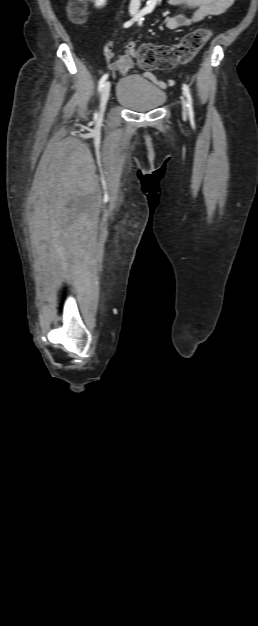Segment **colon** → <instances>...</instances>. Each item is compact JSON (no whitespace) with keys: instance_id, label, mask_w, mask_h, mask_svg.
<instances>
[{"instance_id":"obj_1","label":"colon","mask_w":258,"mask_h":626,"mask_svg":"<svg viewBox=\"0 0 258 626\" xmlns=\"http://www.w3.org/2000/svg\"><path fill=\"white\" fill-rule=\"evenodd\" d=\"M69 15L75 23H83L85 10L83 0H72L69 4ZM211 32L208 29H197L183 40L170 47L152 44L142 45L136 48L133 42L128 43L127 50L136 56L138 64L144 69H169L177 63L187 62L192 59L209 39Z\"/></svg>"}]
</instances>
